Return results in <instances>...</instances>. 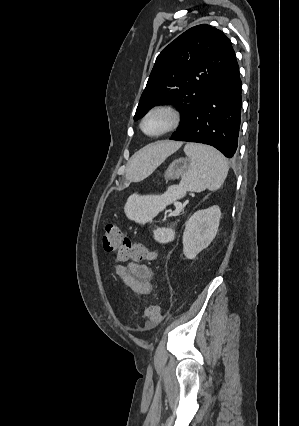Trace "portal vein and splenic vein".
Here are the masks:
<instances>
[{
  "label": "portal vein and splenic vein",
  "mask_w": 299,
  "mask_h": 426,
  "mask_svg": "<svg viewBox=\"0 0 299 426\" xmlns=\"http://www.w3.org/2000/svg\"><path fill=\"white\" fill-rule=\"evenodd\" d=\"M174 205L176 208H182V204L180 202H176Z\"/></svg>",
  "instance_id": "1"
}]
</instances>
